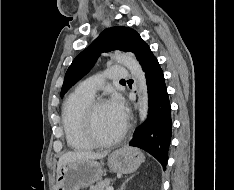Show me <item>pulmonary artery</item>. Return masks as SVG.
I'll list each match as a JSON object with an SVG mask.
<instances>
[{
    "mask_svg": "<svg viewBox=\"0 0 234 190\" xmlns=\"http://www.w3.org/2000/svg\"><path fill=\"white\" fill-rule=\"evenodd\" d=\"M109 80L118 81L129 77V69L124 66H111L106 70ZM104 79L99 76H94L82 81L76 88V91L94 97L99 88L103 85Z\"/></svg>",
    "mask_w": 234,
    "mask_h": 190,
    "instance_id": "e3ab8cb5",
    "label": "pulmonary artery"
}]
</instances>
